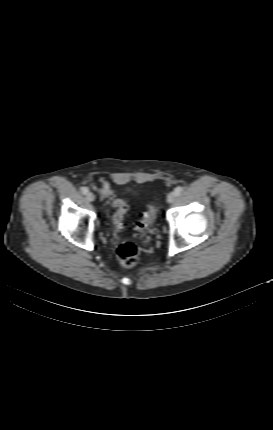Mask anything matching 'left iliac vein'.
I'll return each mask as SVG.
<instances>
[{"mask_svg": "<svg viewBox=\"0 0 273 430\" xmlns=\"http://www.w3.org/2000/svg\"><path fill=\"white\" fill-rule=\"evenodd\" d=\"M175 199H176V195L174 192H171L168 194V196H167V202L168 203H173L175 201Z\"/></svg>", "mask_w": 273, "mask_h": 430, "instance_id": "left-iliac-vein-1", "label": "left iliac vein"}]
</instances>
